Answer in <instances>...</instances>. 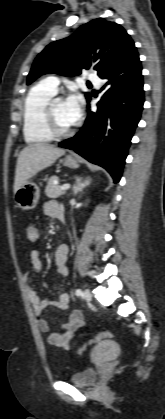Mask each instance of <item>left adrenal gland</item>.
Here are the masks:
<instances>
[{
  "mask_svg": "<svg viewBox=\"0 0 165 419\" xmlns=\"http://www.w3.org/2000/svg\"><path fill=\"white\" fill-rule=\"evenodd\" d=\"M91 182V179L88 178L85 181H82L81 178L77 179L76 184L73 187V194H77L81 192L86 186H88Z\"/></svg>",
  "mask_w": 165,
  "mask_h": 419,
  "instance_id": "obj_1",
  "label": "left adrenal gland"
}]
</instances>
